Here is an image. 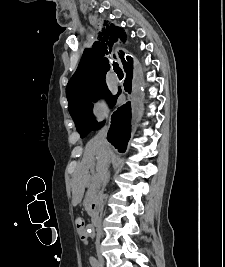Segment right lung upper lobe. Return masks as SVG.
Segmentation results:
<instances>
[{"mask_svg": "<svg viewBox=\"0 0 225 267\" xmlns=\"http://www.w3.org/2000/svg\"><path fill=\"white\" fill-rule=\"evenodd\" d=\"M98 37L100 41L95 42L91 49H85L78 68L67 85L66 95L69 105L78 101L91 88L105 85L104 77L110 69L109 55L116 51L118 42L126 40L121 28L107 22ZM121 54L124 55L122 52ZM117 55L122 59L125 69L129 63L118 52Z\"/></svg>", "mask_w": 225, "mask_h": 267, "instance_id": "right-lung-upper-lobe-1", "label": "right lung upper lobe"}]
</instances>
